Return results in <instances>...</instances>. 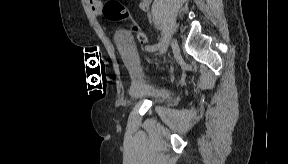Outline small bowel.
<instances>
[{
  "label": "small bowel",
  "instance_id": "c3829d8e",
  "mask_svg": "<svg viewBox=\"0 0 288 164\" xmlns=\"http://www.w3.org/2000/svg\"><path fill=\"white\" fill-rule=\"evenodd\" d=\"M140 8L142 10H147L149 8V1L146 0V1L141 2L140 3Z\"/></svg>",
  "mask_w": 288,
  "mask_h": 164
}]
</instances>
